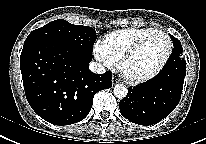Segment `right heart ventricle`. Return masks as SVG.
Returning <instances> with one entry per match:
<instances>
[{
  "label": "right heart ventricle",
  "instance_id": "obj_1",
  "mask_svg": "<svg viewBox=\"0 0 206 144\" xmlns=\"http://www.w3.org/2000/svg\"><path fill=\"white\" fill-rule=\"evenodd\" d=\"M154 28H127L109 33L101 41L115 62L138 40L155 32Z\"/></svg>",
  "mask_w": 206,
  "mask_h": 144
}]
</instances>
